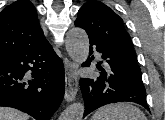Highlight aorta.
Returning a JSON list of instances; mask_svg holds the SVG:
<instances>
[{
  "label": "aorta",
  "instance_id": "762f6f07",
  "mask_svg": "<svg viewBox=\"0 0 165 120\" xmlns=\"http://www.w3.org/2000/svg\"><path fill=\"white\" fill-rule=\"evenodd\" d=\"M66 50L69 57L76 63L86 61L89 54V39L87 33L81 28H72L66 36ZM84 114V105L73 103L61 114L59 120H81Z\"/></svg>",
  "mask_w": 165,
  "mask_h": 120
}]
</instances>
